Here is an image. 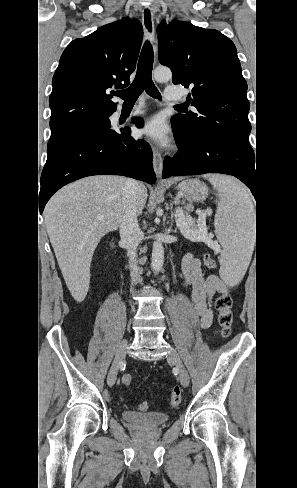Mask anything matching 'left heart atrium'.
Here are the masks:
<instances>
[{
  "mask_svg": "<svg viewBox=\"0 0 297 488\" xmlns=\"http://www.w3.org/2000/svg\"><path fill=\"white\" fill-rule=\"evenodd\" d=\"M141 134L162 146L167 145L170 140L169 127L161 116L148 120L141 128Z\"/></svg>",
  "mask_w": 297,
  "mask_h": 488,
  "instance_id": "obj_1",
  "label": "left heart atrium"
}]
</instances>
